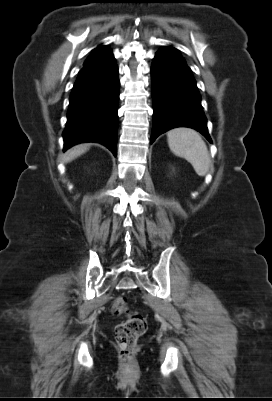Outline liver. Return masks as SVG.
<instances>
[{"label":"liver","mask_w":272,"mask_h":401,"mask_svg":"<svg viewBox=\"0 0 272 401\" xmlns=\"http://www.w3.org/2000/svg\"><path fill=\"white\" fill-rule=\"evenodd\" d=\"M88 149H89V144L77 145V146L69 149L65 153V155L63 157V161L65 163H68V162L72 161L73 159L79 157L80 155L84 154Z\"/></svg>","instance_id":"6515ba94"}]
</instances>
